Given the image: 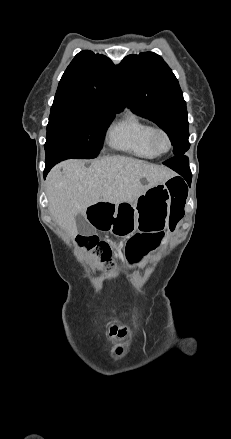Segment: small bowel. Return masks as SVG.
I'll return each instance as SVG.
<instances>
[{
  "instance_id": "small-bowel-1",
  "label": "small bowel",
  "mask_w": 231,
  "mask_h": 439,
  "mask_svg": "<svg viewBox=\"0 0 231 439\" xmlns=\"http://www.w3.org/2000/svg\"><path fill=\"white\" fill-rule=\"evenodd\" d=\"M167 227H162L155 231H144L141 230L137 236L139 239L136 242H131L128 245V256L137 260L140 258H145L153 251H155L161 244ZM112 333L118 335L119 337L124 336V330L120 328H112Z\"/></svg>"
}]
</instances>
